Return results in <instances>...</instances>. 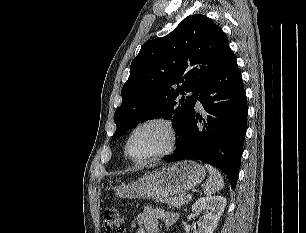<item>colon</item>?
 <instances>
[{
    "instance_id": "colon-1",
    "label": "colon",
    "mask_w": 306,
    "mask_h": 233,
    "mask_svg": "<svg viewBox=\"0 0 306 233\" xmlns=\"http://www.w3.org/2000/svg\"><path fill=\"white\" fill-rule=\"evenodd\" d=\"M103 224L106 233H123L124 232V220L121 215L112 209H108L104 213Z\"/></svg>"
}]
</instances>
